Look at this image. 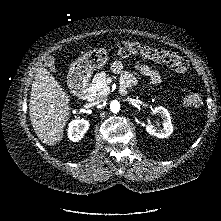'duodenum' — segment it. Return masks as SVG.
Listing matches in <instances>:
<instances>
[{
	"label": "duodenum",
	"instance_id": "410a0bca",
	"mask_svg": "<svg viewBox=\"0 0 221 221\" xmlns=\"http://www.w3.org/2000/svg\"><path fill=\"white\" fill-rule=\"evenodd\" d=\"M75 92L76 94L86 101H92L94 99V94L91 87L87 81L78 80L75 82ZM126 88L121 87V91L125 92Z\"/></svg>",
	"mask_w": 221,
	"mask_h": 221
}]
</instances>
